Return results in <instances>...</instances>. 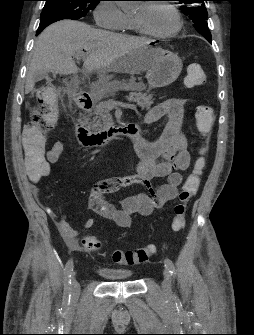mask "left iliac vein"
I'll return each mask as SVG.
<instances>
[{
  "instance_id": "1",
  "label": "left iliac vein",
  "mask_w": 254,
  "mask_h": 335,
  "mask_svg": "<svg viewBox=\"0 0 254 335\" xmlns=\"http://www.w3.org/2000/svg\"><path fill=\"white\" fill-rule=\"evenodd\" d=\"M162 289L166 294L170 293L171 291V276L168 269L163 270Z\"/></svg>"
}]
</instances>
